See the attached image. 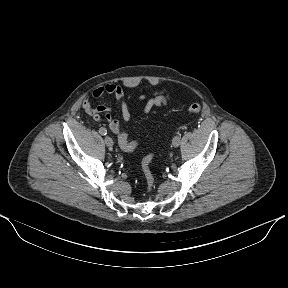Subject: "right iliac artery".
I'll use <instances>...</instances> for the list:
<instances>
[{
    "instance_id": "obj_1",
    "label": "right iliac artery",
    "mask_w": 288,
    "mask_h": 288,
    "mask_svg": "<svg viewBox=\"0 0 288 288\" xmlns=\"http://www.w3.org/2000/svg\"><path fill=\"white\" fill-rule=\"evenodd\" d=\"M99 133L101 134V135H106L107 134V130H106V128H100L99 129Z\"/></svg>"
}]
</instances>
